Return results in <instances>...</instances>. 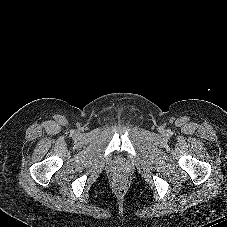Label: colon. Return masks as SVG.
Returning <instances> with one entry per match:
<instances>
[{
    "label": "colon",
    "mask_w": 227,
    "mask_h": 227,
    "mask_svg": "<svg viewBox=\"0 0 227 227\" xmlns=\"http://www.w3.org/2000/svg\"><path fill=\"white\" fill-rule=\"evenodd\" d=\"M128 186L127 176L123 173H116L112 178V187L116 193L122 194Z\"/></svg>",
    "instance_id": "obj_1"
}]
</instances>
